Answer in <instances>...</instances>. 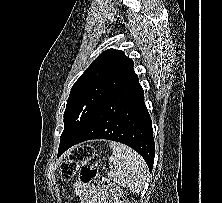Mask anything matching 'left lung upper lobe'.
<instances>
[{"label": "left lung upper lobe", "mask_w": 222, "mask_h": 203, "mask_svg": "<svg viewBox=\"0 0 222 203\" xmlns=\"http://www.w3.org/2000/svg\"><path fill=\"white\" fill-rule=\"evenodd\" d=\"M133 74V60L125 56L123 51L110 49L101 53L71 89L59 148L72 142L104 101Z\"/></svg>", "instance_id": "5c2ea615"}]
</instances>
